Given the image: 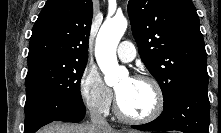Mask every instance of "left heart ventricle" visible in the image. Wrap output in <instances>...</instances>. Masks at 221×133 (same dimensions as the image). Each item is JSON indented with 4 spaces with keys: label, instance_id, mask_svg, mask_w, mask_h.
Wrapping results in <instances>:
<instances>
[{
    "label": "left heart ventricle",
    "instance_id": "obj_1",
    "mask_svg": "<svg viewBox=\"0 0 221 133\" xmlns=\"http://www.w3.org/2000/svg\"><path fill=\"white\" fill-rule=\"evenodd\" d=\"M121 108L130 116L149 114L155 105V94L150 83L126 77L116 86Z\"/></svg>",
    "mask_w": 221,
    "mask_h": 133
}]
</instances>
